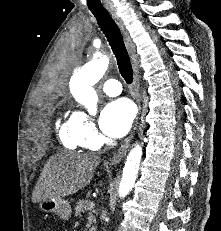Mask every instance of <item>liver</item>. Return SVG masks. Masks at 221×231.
<instances>
[{
    "instance_id": "6515ba94",
    "label": "liver",
    "mask_w": 221,
    "mask_h": 231,
    "mask_svg": "<svg viewBox=\"0 0 221 231\" xmlns=\"http://www.w3.org/2000/svg\"><path fill=\"white\" fill-rule=\"evenodd\" d=\"M100 157L62 151L51 156L44 165L32 193V202L63 198L90 184Z\"/></svg>"
}]
</instances>
